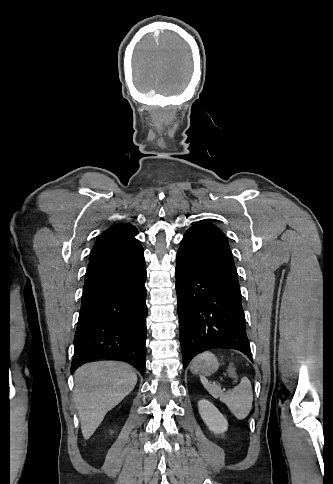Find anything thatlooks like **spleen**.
<instances>
[{"label": "spleen", "mask_w": 333, "mask_h": 484, "mask_svg": "<svg viewBox=\"0 0 333 484\" xmlns=\"http://www.w3.org/2000/svg\"><path fill=\"white\" fill-rule=\"evenodd\" d=\"M200 380L209 394L224 403L237 419L242 420L249 415L252 409L253 393L248 378L243 377L239 385L225 393L222 392L220 385L209 383L206 377L200 376Z\"/></svg>", "instance_id": "spleen-1"}]
</instances>
